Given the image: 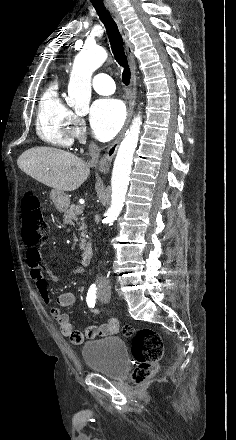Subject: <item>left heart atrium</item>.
Masks as SVG:
<instances>
[{"label":"left heart atrium","mask_w":236,"mask_h":440,"mask_svg":"<svg viewBox=\"0 0 236 440\" xmlns=\"http://www.w3.org/2000/svg\"><path fill=\"white\" fill-rule=\"evenodd\" d=\"M90 120L96 138L108 141L120 131L124 123V105L113 98L98 99L91 106Z\"/></svg>","instance_id":"obj_1"}]
</instances>
